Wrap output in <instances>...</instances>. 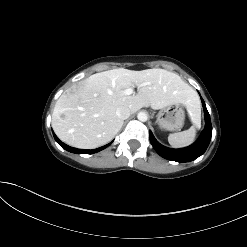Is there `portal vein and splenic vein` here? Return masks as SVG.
<instances>
[{"instance_id": "obj_1", "label": "portal vein and splenic vein", "mask_w": 247, "mask_h": 247, "mask_svg": "<svg viewBox=\"0 0 247 247\" xmlns=\"http://www.w3.org/2000/svg\"><path fill=\"white\" fill-rule=\"evenodd\" d=\"M147 85V83H142L139 85V87H142V86H145ZM122 93L124 95H131L133 93V89L132 88H128V89H125L124 91H122Z\"/></svg>"}]
</instances>
